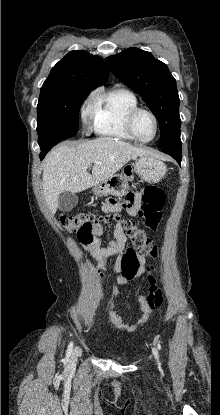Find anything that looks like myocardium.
<instances>
[{
	"label": "myocardium",
	"instance_id": "obj_1",
	"mask_svg": "<svg viewBox=\"0 0 220 415\" xmlns=\"http://www.w3.org/2000/svg\"><path fill=\"white\" fill-rule=\"evenodd\" d=\"M140 112L148 113L153 118V120H154L155 133H154V135L150 139H147V140H144V139L139 138L136 135L135 130H134V120H135L137 114L140 113ZM126 127H127V130L129 132V134L133 137L134 140H136V141H138L140 143H148V142L153 141L157 137V135H158V132H159V120H158L156 114L152 110L147 109V108H143V107H135L127 115Z\"/></svg>",
	"mask_w": 220,
	"mask_h": 415
}]
</instances>
